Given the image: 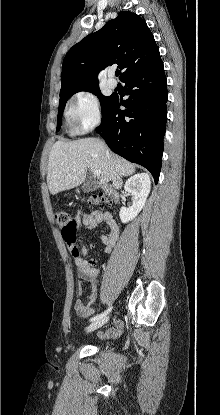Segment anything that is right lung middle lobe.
<instances>
[{
  "mask_svg": "<svg viewBox=\"0 0 220 415\" xmlns=\"http://www.w3.org/2000/svg\"><path fill=\"white\" fill-rule=\"evenodd\" d=\"M79 91H88V92H92L93 94L97 95L101 102L102 118L105 116L108 106L111 102L112 96L107 97V96L102 95L100 93V89L98 85H86V86L75 87L73 89H70L60 94L59 110H58V118H57V129H56L57 132L60 130V127H61L62 113H63L64 107H65V104L68 98Z\"/></svg>",
  "mask_w": 220,
  "mask_h": 415,
  "instance_id": "right-lung-middle-lobe-1",
  "label": "right lung middle lobe"
}]
</instances>
